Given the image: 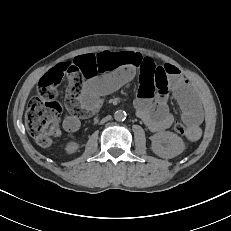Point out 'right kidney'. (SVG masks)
<instances>
[{
	"label": "right kidney",
	"mask_w": 231,
	"mask_h": 231,
	"mask_svg": "<svg viewBox=\"0 0 231 231\" xmlns=\"http://www.w3.org/2000/svg\"><path fill=\"white\" fill-rule=\"evenodd\" d=\"M78 149V144L76 142H69L66 146V151L68 153H73Z\"/></svg>",
	"instance_id": "ca27d5eb"
}]
</instances>
